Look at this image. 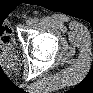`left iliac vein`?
<instances>
[{"label": "left iliac vein", "instance_id": "1", "mask_svg": "<svg viewBox=\"0 0 93 93\" xmlns=\"http://www.w3.org/2000/svg\"><path fill=\"white\" fill-rule=\"evenodd\" d=\"M33 23H34V22H33L32 19H28V20L26 21V24H27L28 26H31Z\"/></svg>", "mask_w": 93, "mask_h": 93}]
</instances>
